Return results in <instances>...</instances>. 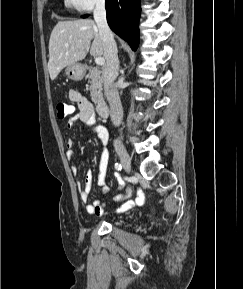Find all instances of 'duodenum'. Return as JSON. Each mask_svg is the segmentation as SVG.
<instances>
[{
	"mask_svg": "<svg viewBox=\"0 0 243 289\" xmlns=\"http://www.w3.org/2000/svg\"><path fill=\"white\" fill-rule=\"evenodd\" d=\"M96 111L99 117L106 118L109 115V108L106 102L102 99L96 101Z\"/></svg>",
	"mask_w": 243,
	"mask_h": 289,
	"instance_id": "410a0bca",
	"label": "duodenum"
}]
</instances>
